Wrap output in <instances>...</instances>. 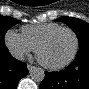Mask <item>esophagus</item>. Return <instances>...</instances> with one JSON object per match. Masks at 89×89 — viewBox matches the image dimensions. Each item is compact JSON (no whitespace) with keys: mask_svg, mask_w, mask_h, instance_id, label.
Segmentation results:
<instances>
[{"mask_svg":"<svg viewBox=\"0 0 89 89\" xmlns=\"http://www.w3.org/2000/svg\"><path fill=\"white\" fill-rule=\"evenodd\" d=\"M27 68H28L29 72H32L35 69V67L32 65H27Z\"/></svg>","mask_w":89,"mask_h":89,"instance_id":"34e87169","label":"esophagus"}]
</instances>
